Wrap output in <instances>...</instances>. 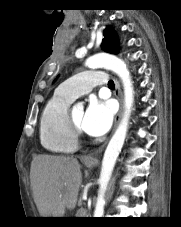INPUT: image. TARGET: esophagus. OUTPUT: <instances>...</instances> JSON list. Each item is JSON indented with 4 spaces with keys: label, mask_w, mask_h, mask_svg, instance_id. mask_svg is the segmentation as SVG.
I'll return each instance as SVG.
<instances>
[{
    "label": "esophagus",
    "mask_w": 181,
    "mask_h": 227,
    "mask_svg": "<svg viewBox=\"0 0 181 227\" xmlns=\"http://www.w3.org/2000/svg\"><path fill=\"white\" fill-rule=\"evenodd\" d=\"M115 96L119 101L120 104V108L119 111L115 117V123H114V128L113 131L115 130V128L117 127L119 120L121 118L122 115V111H123V95H122V90H121V86L119 81L116 79L115 80ZM106 143L103 144L98 150H96L94 153H90L88 155H85L83 157V161L84 162H93L95 160V156L98 155L99 153H101L105 147Z\"/></svg>",
    "instance_id": "esophagus-1"
}]
</instances>
